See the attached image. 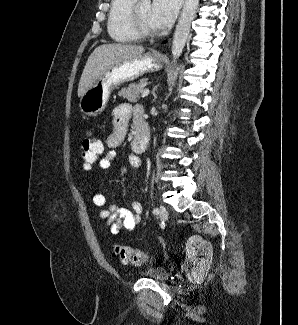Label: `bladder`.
<instances>
[{"instance_id":"31cf9c89","label":"bladder","mask_w":298,"mask_h":325,"mask_svg":"<svg viewBox=\"0 0 298 325\" xmlns=\"http://www.w3.org/2000/svg\"><path fill=\"white\" fill-rule=\"evenodd\" d=\"M144 275L158 282H165L170 278L169 272L160 267L150 268L144 273Z\"/></svg>"}]
</instances>
